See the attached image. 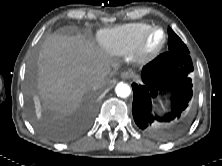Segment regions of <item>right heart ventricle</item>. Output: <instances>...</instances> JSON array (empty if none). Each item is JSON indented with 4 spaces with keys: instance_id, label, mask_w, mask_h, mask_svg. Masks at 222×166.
I'll list each match as a JSON object with an SVG mask.
<instances>
[{
    "instance_id": "1",
    "label": "right heart ventricle",
    "mask_w": 222,
    "mask_h": 166,
    "mask_svg": "<svg viewBox=\"0 0 222 166\" xmlns=\"http://www.w3.org/2000/svg\"><path fill=\"white\" fill-rule=\"evenodd\" d=\"M150 26L148 23L137 22L102 30L98 34V40L109 53L126 55L135 49L141 36Z\"/></svg>"
}]
</instances>
